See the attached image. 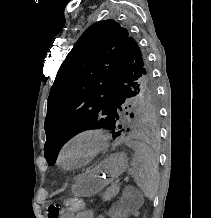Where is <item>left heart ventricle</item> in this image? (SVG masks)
<instances>
[{"mask_svg": "<svg viewBox=\"0 0 211 218\" xmlns=\"http://www.w3.org/2000/svg\"><path fill=\"white\" fill-rule=\"evenodd\" d=\"M92 149L89 142H80L72 145L66 154V162L76 163L84 160Z\"/></svg>", "mask_w": 211, "mask_h": 218, "instance_id": "left-heart-ventricle-1", "label": "left heart ventricle"}]
</instances>
